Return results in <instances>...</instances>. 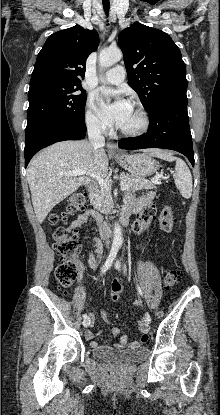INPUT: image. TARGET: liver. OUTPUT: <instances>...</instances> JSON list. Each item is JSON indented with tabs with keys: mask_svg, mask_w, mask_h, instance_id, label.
<instances>
[{
	"mask_svg": "<svg viewBox=\"0 0 220 415\" xmlns=\"http://www.w3.org/2000/svg\"><path fill=\"white\" fill-rule=\"evenodd\" d=\"M108 163L105 150H94L87 140L62 141L42 150L27 168V180L38 222L42 223L58 203L90 182L89 174L105 177ZM79 170L87 174H64Z\"/></svg>",
	"mask_w": 220,
	"mask_h": 415,
	"instance_id": "liver-1",
	"label": "liver"
}]
</instances>
